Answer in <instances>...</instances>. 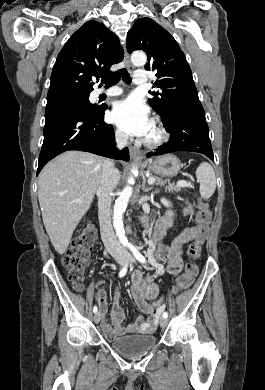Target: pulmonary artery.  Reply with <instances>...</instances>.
<instances>
[{"label": "pulmonary artery", "instance_id": "e3ab8cb5", "mask_svg": "<svg viewBox=\"0 0 265 390\" xmlns=\"http://www.w3.org/2000/svg\"><path fill=\"white\" fill-rule=\"evenodd\" d=\"M134 83L136 85H146L149 82L148 71L146 70H138L134 74ZM99 94H105L107 96H118L122 93V89L118 87L110 88L106 91L100 90Z\"/></svg>", "mask_w": 265, "mask_h": 390}]
</instances>
